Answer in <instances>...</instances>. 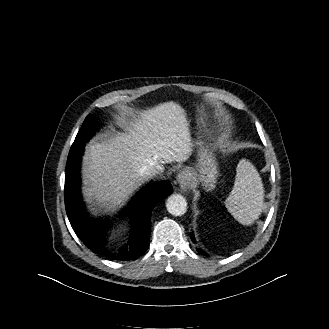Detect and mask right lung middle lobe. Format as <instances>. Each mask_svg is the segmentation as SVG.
I'll return each mask as SVG.
<instances>
[{
  "instance_id": "1",
  "label": "right lung middle lobe",
  "mask_w": 329,
  "mask_h": 329,
  "mask_svg": "<svg viewBox=\"0 0 329 329\" xmlns=\"http://www.w3.org/2000/svg\"><path fill=\"white\" fill-rule=\"evenodd\" d=\"M98 129L97 121L90 114L86 117L83 122L82 128L78 132L74 143L70 149L68 159L74 157L85 145V143L91 138L95 130Z\"/></svg>"
}]
</instances>
